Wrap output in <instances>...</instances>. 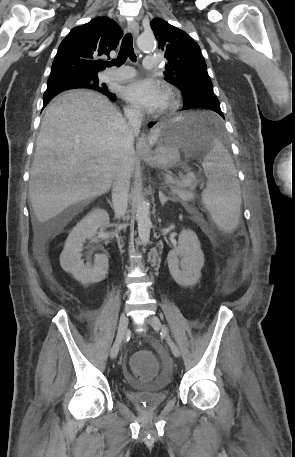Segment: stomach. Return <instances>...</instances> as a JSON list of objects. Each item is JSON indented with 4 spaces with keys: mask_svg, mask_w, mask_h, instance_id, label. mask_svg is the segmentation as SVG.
<instances>
[{
    "mask_svg": "<svg viewBox=\"0 0 295 457\" xmlns=\"http://www.w3.org/2000/svg\"><path fill=\"white\" fill-rule=\"evenodd\" d=\"M156 148L144 153V161L155 168L170 169L180 163V149L196 146L202 152L212 148L208 123L197 117H181L158 127Z\"/></svg>",
    "mask_w": 295,
    "mask_h": 457,
    "instance_id": "1",
    "label": "stomach"
}]
</instances>
